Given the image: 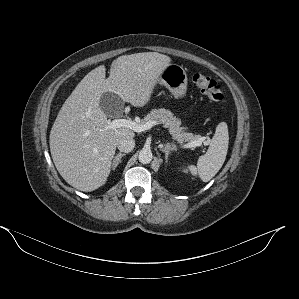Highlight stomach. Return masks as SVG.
<instances>
[{
  "instance_id": "stomach-1",
  "label": "stomach",
  "mask_w": 299,
  "mask_h": 299,
  "mask_svg": "<svg viewBox=\"0 0 299 299\" xmlns=\"http://www.w3.org/2000/svg\"><path fill=\"white\" fill-rule=\"evenodd\" d=\"M187 81V74L182 66L169 64L161 73L158 84L165 86L176 99H181L186 96Z\"/></svg>"
}]
</instances>
